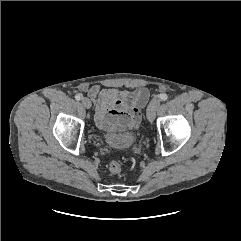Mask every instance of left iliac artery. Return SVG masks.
<instances>
[{"mask_svg":"<svg viewBox=\"0 0 241 241\" xmlns=\"http://www.w3.org/2000/svg\"><path fill=\"white\" fill-rule=\"evenodd\" d=\"M158 97H159L160 100H162V101H166V100L168 99V95H167V94H160Z\"/></svg>","mask_w":241,"mask_h":241,"instance_id":"44dca946","label":"left iliac artery"}]
</instances>
